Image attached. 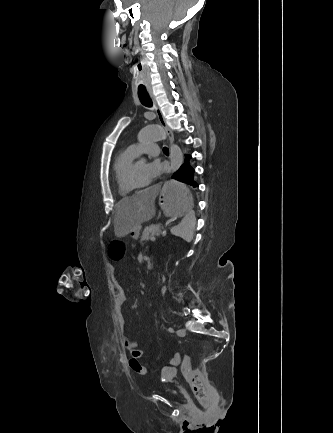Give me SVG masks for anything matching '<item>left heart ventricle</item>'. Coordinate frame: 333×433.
<instances>
[{"mask_svg": "<svg viewBox=\"0 0 333 433\" xmlns=\"http://www.w3.org/2000/svg\"><path fill=\"white\" fill-rule=\"evenodd\" d=\"M143 154V153H142ZM150 160L154 158V155L144 153ZM148 162L145 160H140L135 162L134 166V174H133V181L136 184H144L147 183V166Z\"/></svg>", "mask_w": 333, "mask_h": 433, "instance_id": "b2bd125f", "label": "left heart ventricle"}]
</instances>
